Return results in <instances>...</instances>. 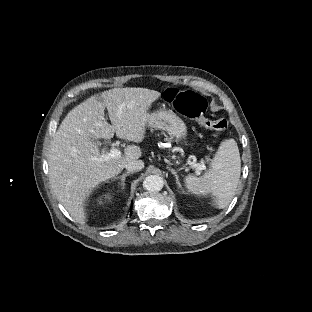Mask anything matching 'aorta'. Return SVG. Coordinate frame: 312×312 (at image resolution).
Here are the masks:
<instances>
[{
  "label": "aorta",
  "instance_id": "aorta-1",
  "mask_svg": "<svg viewBox=\"0 0 312 312\" xmlns=\"http://www.w3.org/2000/svg\"><path fill=\"white\" fill-rule=\"evenodd\" d=\"M142 186L147 191H159L163 187V180L157 175H150L144 179Z\"/></svg>",
  "mask_w": 312,
  "mask_h": 312
}]
</instances>
